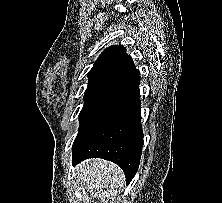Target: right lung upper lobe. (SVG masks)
<instances>
[{"instance_id": "1", "label": "right lung upper lobe", "mask_w": 222, "mask_h": 203, "mask_svg": "<svg viewBox=\"0 0 222 203\" xmlns=\"http://www.w3.org/2000/svg\"><path fill=\"white\" fill-rule=\"evenodd\" d=\"M126 48L112 45L106 48L94 63L88 75L86 90L115 94L139 76Z\"/></svg>"}]
</instances>
